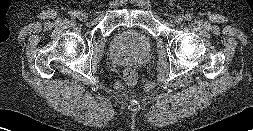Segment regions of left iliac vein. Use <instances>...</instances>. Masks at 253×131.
<instances>
[{"label": "left iliac vein", "instance_id": "left-iliac-vein-1", "mask_svg": "<svg viewBox=\"0 0 253 131\" xmlns=\"http://www.w3.org/2000/svg\"><path fill=\"white\" fill-rule=\"evenodd\" d=\"M184 20V16L183 15H177L174 17V22L175 23H181Z\"/></svg>", "mask_w": 253, "mask_h": 131}]
</instances>
